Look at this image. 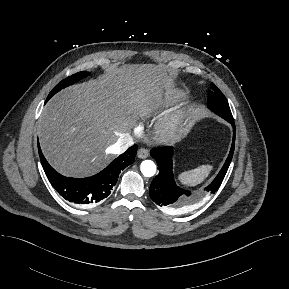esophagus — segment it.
Returning a JSON list of instances; mask_svg holds the SVG:
<instances>
[{"instance_id": "esophagus-1", "label": "esophagus", "mask_w": 289, "mask_h": 289, "mask_svg": "<svg viewBox=\"0 0 289 289\" xmlns=\"http://www.w3.org/2000/svg\"><path fill=\"white\" fill-rule=\"evenodd\" d=\"M138 157L141 159H145L149 156V151L145 148H140L137 153Z\"/></svg>"}]
</instances>
